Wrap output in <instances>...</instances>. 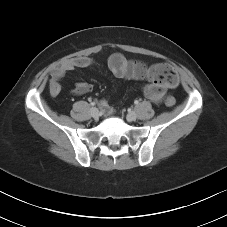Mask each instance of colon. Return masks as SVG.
<instances>
[{"label":"colon","mask_w":227,"mask_h":227,"mask_svg":"<svg viewBox=\"0 0 227 227\" xmlns=\"http://www.w3.org/2000/svg\"><path fill=\"white\" fill-rule=\"evenodd\" d=\"M155 71L162 82H165L169 85L175 86L177 84V74L175 70L168 64L158 63L153 65ZM165 104L168 107H173L176 104V100L172 96H167L165 98Z\"/></svg>","instance_id":"5ec220e1"}]
</instances>
